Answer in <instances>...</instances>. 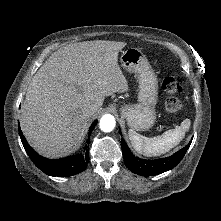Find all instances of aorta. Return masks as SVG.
Returning a JSON list of instances; mask_svg holds the SVG:
<instances>
[{
	"instance_id": "762f6f07",
	"label": "aorta",
	"mask_w": 221,
	"mask_h": 221,
	"mask_svg": "<svg viewBox=\"0 0 221 221\" xmlns=\"http://www.w3.org/2000/svg\"><path fill=\"white\" fill-rule=\"evenodd\" d=\"M115 124H116L115 118L110 114L102 116L99 123L100 129L103 132L112 131L115 128Z\"/></svg>"
}]
</instances>
